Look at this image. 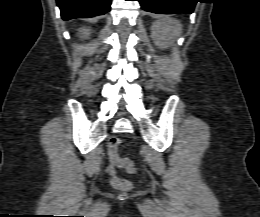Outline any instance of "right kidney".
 <instances>
[{
	"mask_svg": "<svg viewBox=\"0 0 260 217\" xmlns=\"http://www.w3.org/2000/svg\"><path fill=\"white\" fill-rule=\"evenodd\" d=\"M79 33L81 38H86L89 36V30L86 28L79 29Z\"/></svg>",
	"mask_w": 260,
	"mask_h": 217,
	"instance_id": "right-kidney-1",
	"label": "right kidney"
}]
</instances>
